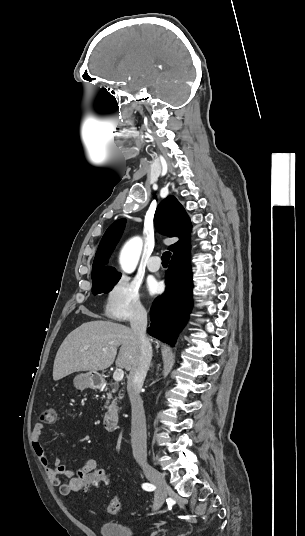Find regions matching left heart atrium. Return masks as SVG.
Here are the masks:
<instances>
[{
    "mask_svg": "<svg viewBox=\"0 0 305 536\" xmlns=\"http://www.w3.org/2000/svg\"><path fill=\"white\" fill-rule=\"evenodd\" d=\"M147 289L150 294L155 295L161 291L162 285L155 279H150L147 283Z\"/></svg>",
    "mask_w": 305,
    "mask_h": 536,
    "instance_id": "39dd6f15",
    "label": "left heart atrium"
}]
</instances>
